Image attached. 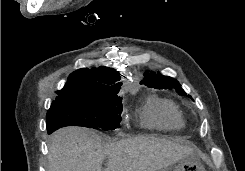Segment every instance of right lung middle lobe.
Here are the masks:
<instances>
[{"instance_id": "right-lung-middle-lobe-1", "label": "right lung middle lobe", "mask_w": 245, "mask_h": 171, "mask_svg": "<svg viewBox=\"0 0 245 171\" xmlns=\"http://www.w3.org/2000/svg\"><path fill=\"white\" fill-rule=\"evenodd\" d=\"M122 109V98L118 96L53 102L47 112V131L50 134L65 126L115 130L121 121Z\"/></svg>"}]
</instances>
